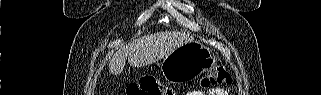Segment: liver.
<instances>
[{
    "label": "liver",
    "mask_w": 321,
    "mask_h": 95,
    "mask_svg": "<svg viewBox=\"0 0 321 95\" xmlns=\"http://www.w3.org/2000/svg\"><path fill=\"white\" fill-rule=\"evenodd\" d=\"M194 38L184 32L165 31L147 35L123 46L109 60L108 68L111 74L119 75L128 62L131 66L142 67L164 58L178 47Z\"/></svg>",
    "instance_id": "6515ba94"
}]
</instances>
